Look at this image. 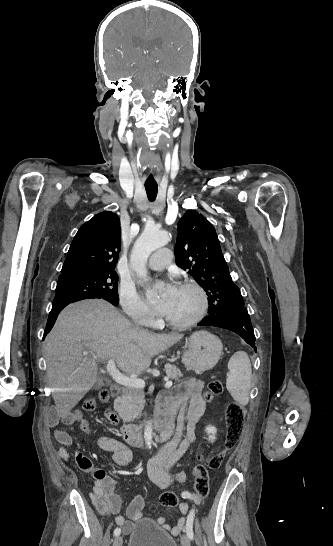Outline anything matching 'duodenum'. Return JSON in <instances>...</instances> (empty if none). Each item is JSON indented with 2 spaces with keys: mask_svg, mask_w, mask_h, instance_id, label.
I'll list each match as a JSON object with an SVG mask.
<instances>
[{
  "mask_svg": "<svg viewBox=\"0 0 333 546\" xmlns=\"http://www.w3.org/2000/svg\"><path fill=\"white\" fill-rule=\"evenodd\" d=\"M120 394V389L117 386L111 387V396L114 399V401L117 400ZM106 417L109 421V423L113 426L117 425L119 423V415L115 408L110 407L106 410ZM155 431L159 438H162L167 430V419L162 416L158 415L155 425H154ZM120 437L123 441H125L127 444L132 446H139L142 445L146 441V433L145 428L142 426L137 425H127L120 429Z\"/></svg>",
  "mask_w": 333,
  "mask_h": 546,
  "instance_id": "obj_1",
  "label": "duodenum"
}]
</instances>
